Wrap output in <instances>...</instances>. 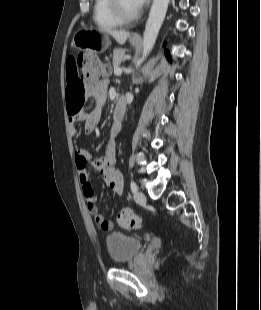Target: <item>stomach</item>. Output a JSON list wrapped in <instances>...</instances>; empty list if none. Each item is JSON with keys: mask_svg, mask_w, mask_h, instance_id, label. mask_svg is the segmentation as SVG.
<instances>
[{"mask_svg": "<svg viewBox=\"0 0 261 310\" xmlns=\"http://www.w3.org/2000/svg\"><path fill=\"white\" fill-rule=\"evenodd\" d=\"M130 42L133 46L137 45L134 41ZM73 44L76 48L83 51L103 52L109 46V38L103 32L94 29H82L75 33Z\"/></svg>", "mask_w": 261, "mask_h": 310, "instance_id": "stomach-1", "label": "stomach"}]
</instances>
